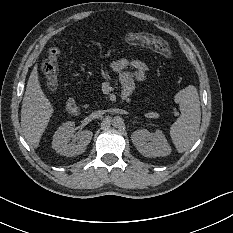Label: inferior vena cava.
Listing matches in <instances>:
<instances>
[{"mask_svg": "<svg viewBox=\"0 0 233 233\" xmlns=\"http://www.w3.org/2000/svg\"><path fill=\"white\" fill-rule=\"evenodd\" d=\"M105 114L104 110H95L91 113V117L94 119L100 118L101 116H103Z\"/></svg>", "mask_w": 233, "mask_h": 233, "instance_id": "1", "label": "inferior vena cava"}]
</instances>
